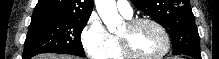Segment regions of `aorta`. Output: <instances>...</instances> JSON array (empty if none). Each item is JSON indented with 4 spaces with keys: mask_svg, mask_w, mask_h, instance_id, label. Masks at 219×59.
<instances>
[{
    "mask_svg": "<svg viewBox=\"0 0 219 59\" xmlns=\"http://www.w3.org/2000/svg\"><path fill=\"white\" fill-rule=\"evenodd\" d=\"M96 9L109 32L114 33L122 22L116 8V0H95Z\"/></svg>",
    "mask_w": 219,
    "mask_h": 59,
    "instance_id": "762f6f07",
    "label": "aorta"
}]
</instances>
